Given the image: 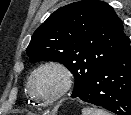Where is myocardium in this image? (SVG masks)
<instances>
[{"label": "myocardium", "instance_id": "obj_1", "mask_svg": "<svg viewBox=\"0 0 131 115\" xmlns=\"http://www.w3.org/2000/svg\"><path fill=\"white\" fill-rule=\"evenodd\" d=\"M44 70H54L59 74L61 78V85L57 90V92L53 96L46 99L40 98L33 90V80L35 76ZM71 86H72V73L65 64L59 61H46L40 64L31 72L27 80V91L30 97L42 105L54 104L67 94Z\"/></svg>", "mask_w": 131, "mask_h": 115}]
</instances>
